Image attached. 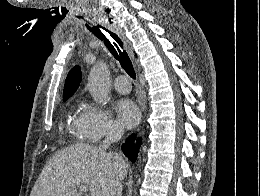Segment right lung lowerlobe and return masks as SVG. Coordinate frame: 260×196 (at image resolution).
Returning a JSON list of instances; mask_svg holds the SVG:
<instances>
[{"instance_id": "98d812e1", "label": "right lung lower lobe", "mask_w": 260, "mask_h": 196, "mask_svg": "<svg viewBox=\"0 0 260 196\" xmlns=\"http://www.w3.org/2000/svg\"><path fill=\"white\" fill-rule=\"evenodd\" d=\"M135 139L134 136H130L126 143L122 145V150L124 154L134 163L137 158L138 153V146L141 144V138L137 139V146H134L133 140Z\"/></svg>"}]
</instances>
